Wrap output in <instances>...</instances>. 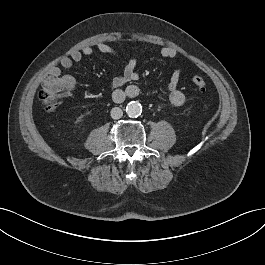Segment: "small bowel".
<instances>
[{"mask_svg": "<svg viewBox=\"0 0 265 265\" xmlns=\"http://www.w3.org/2000/svg\"><path fill=\"white\" fill-rule=\"evenodd\" d=\"M95 50L114 55L116 50L105 42H98L94 46H84L79 50L71 52L69 56H65L60 61V66H54L50 69L51 75H60L61 68L70 69L74 63L80 62L83 57L91 56ZM160 55L164 58H174L177 52L174 48L166 46L160 50ZM138 61L135 58L128 60L123 73L113 78L111 81L112 97L115 101L121 102L125 98H132L138 95L139 89L137 86L130 84L125 89H120L122 86L132 83L138 79L137 72ZM183 72V68L175 69L169 77L167 84V95L171 105L175 107L181 106L185 101L184 93L179 89V81Z\"/></svg>", "mask_w": 265, "mask_h": 265, "instance_id": "small-bowel-1", "label": "small bowel"}]
</instances>
